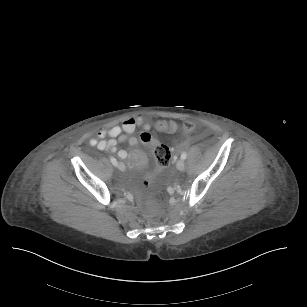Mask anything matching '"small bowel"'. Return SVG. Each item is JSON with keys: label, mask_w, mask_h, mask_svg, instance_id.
Wrapping results in <instances>:
<instances>
[{"label": "small bowel", "mask_w": 307, "mask_h": 307, "mask_svg": "<svg viewBox=\"0 0 307 307\" xmlns=\"http://www.w3.org/2000/svg\"><path fill=\"white\" fill-rule=\"evenodd\" d=\"M151 127L146 117L138 116L126 119L121 125L113 126L106 130H101L90 140L92 146H96L100 150L116 153L122 160H131L139 165L144 164L146 155L139 148V141L133 135L137 128ZM178 128V126H177ZM177 130V129H176ZM108 137V139H106ZM118 140L128 142L131 147L137 148L134 152L118 148Z\"/></svg>", "instance_id": "obj_1"}]
</instances>
